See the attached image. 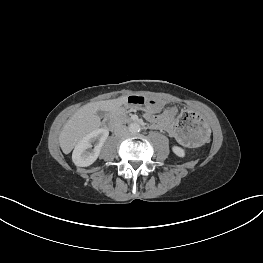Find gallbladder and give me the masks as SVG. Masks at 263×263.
Returning <instances> with one entry per match:
<instances>
[{
  "mask_svg": "<svg viewBox=\"0 0 263 263\" xmlns=\"http://www.w3.org/2000/svg\"><path fill=\"white\" fill-rule=\"evenodd\" d=\"M97 115H98L100 118H104L105 115H106V112L99 110V111L97 112Z\"/></svg>",
  "mask_w": 263,
  "mask_h": 263,
  "instance_id": "bac80fb5",
  "label": "gallbladder"
}]
</instances>
